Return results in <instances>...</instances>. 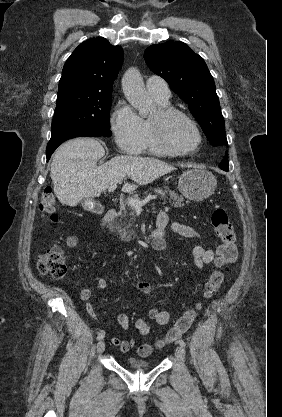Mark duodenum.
<instances>
[{"instance_id": "1", "label": "duodenum", "mask_w": 282, "mask_h": 417, "mask_svg": "<svg viewBox=\"0 0 282 417\" xmlns=\"http://www.w3.org/2000/svg\"><path fill=\"white\" fill-rule=\"evenodd\" d=\"M118 215V211L115 208H111L104 216L103 221H102V228L105 231H109L110 227H111V223L113 222V220L117 217ZM161 239V235L159 234L158 231L152 232L150 235L147 236H143L139 239V241L144 244V245H148V244H152L153 246L155 245L154 242L156 240H160ZM165 246V243L162 241L156 249H163Z\"/></svg>"}]
</instances>
